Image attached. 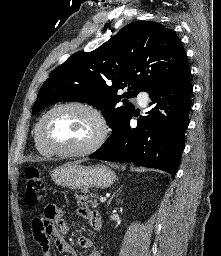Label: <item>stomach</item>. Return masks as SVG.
Here are the masks:
<instances>
[{"label":"stomach","mask_w":221,"mask_h":256,"mask_svg":"<svg viewBox=\"0 0 221 256\" xmlns=\"http://www.w3.org/2000/svg\"><path fill=\"white\" fill-rule=\"evenodd\" d=\"M55 184L70 189H105L116 180L115 172L105 165L85 166L80 163H66L51 173Z\"/></svg>","instance_id":"obj_1"}]
</instances>
